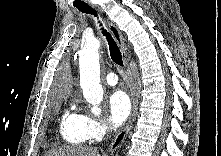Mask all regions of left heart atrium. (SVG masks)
I'll use <instances>...</instances> for the list:
<instances>
[{"label": "left heart atrium", "instance_id": "39dd6f15", "mask_svg": "<svg viewBox=\"0 0 221 156\" xmlns=\"http://www.w3.org/2000/svg\"><path fill=\"white\" fill-rule=\"evenodd\" d=\"M110 119L115 126L121 125L130 115L131 101L129 96L121 90H117L109 97Z\"/></svg>", "mask_w": 221, "mask_h": 156}]
</instances>
